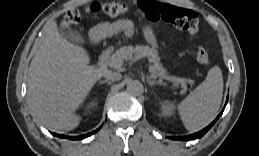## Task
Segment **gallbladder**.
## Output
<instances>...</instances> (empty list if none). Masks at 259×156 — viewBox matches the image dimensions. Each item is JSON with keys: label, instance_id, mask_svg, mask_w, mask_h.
Returning a JSON list of instances; mask_svg holds the SVG:
<instances>
[{"label": "gallbladder", "instance_id": "bac80fb5", "mask_svg": "<svg viewBox=\"0 0 259 156\" xmlns=\"http://www.w3.org/2000/svg\"><path fill=\"white\" fill-rule=\"evenodd\" d=\"M67 39L76 44H83L84 38L83 36L76 30H69L65 33Z\"/></svg>", "mask_w": 259, "mask_h": 156}]
</instances>
